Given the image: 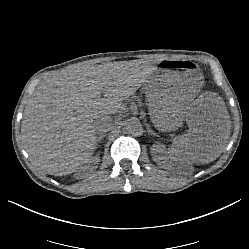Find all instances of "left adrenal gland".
<instances>
[{
    "instance_id": "obj_1",
    "label": "left adrenal gland",
    "mask_w": 249,
    "mask_h": 249,
    "mask_svg": "<svg viewBox=\"0 0 249 249\" xmlns=\"http://www.w3.org/2000/svg\"><path fill=\"white\" fill-rule=\"evenodd\" d=\"M153 130L151 128H148V135H151Z\"/></svg>"
}]
</instances>
